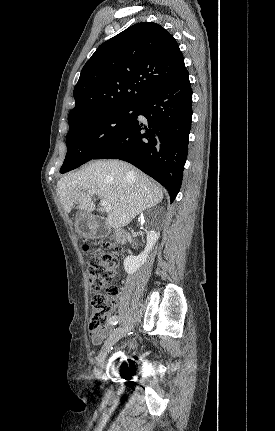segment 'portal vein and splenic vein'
<instances>
[{"label":"portal vein and splenic vein","mask_w":275,"mask_h":431,"mask_svg":"<svg viewBox=\"0 0 275 431\" xmlns=\"http://www.w3.org/2000/svg\"><path fill=\"white\" fill-rule=\"evenodd\" d=\"M96 192L94 191V190H89L88 191V194L89 195H94ZM101 206H102V208H103V210L106 212V213H109V212H111V210H112V206H111V204H109L106 200H104V199H102L101 200Z\"/></svg>","instance_id":"portal-vein-and-splenic-vein-1"}]
</instances>
